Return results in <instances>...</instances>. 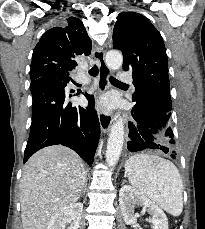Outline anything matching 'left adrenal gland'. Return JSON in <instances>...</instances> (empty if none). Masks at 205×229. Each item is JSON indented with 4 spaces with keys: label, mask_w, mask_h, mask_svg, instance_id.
Returning <instances> with one entry per match:
<instances>
[{
    "label": "left adrenal gland",
    "mask_w": 205,
    "mask_h": 229,
    "mask_svg": "<svg viewBox=\"0 0 205 229\" xmlns=\"http://www.w3.org/2000/svg\"><path fill=\"white\" fill-rule=\"evenodd\" d=\"M125 182H126V180L124 179L123 182H122V184H124Z\"/></svg>",
    "instance_id": "a2214340"
}]
</instances>
